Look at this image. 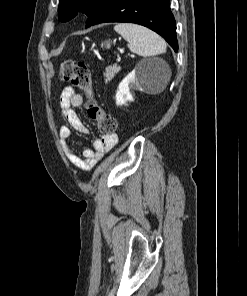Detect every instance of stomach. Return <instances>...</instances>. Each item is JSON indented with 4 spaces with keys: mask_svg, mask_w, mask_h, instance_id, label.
Wrapping results in <instances>:
<instances>
[{
    "mask_svg": "<svg viewBox=\"0 0 247 296\" xmlns=\"http://www.w3.org/2000/svg\"><path fill=\"white\" fill-rule=\"evenodd\" d=\"M104 45H105V47L107 49H109L111 47V42L110 41H105Z\"/></svg>",
    "mask_w": 247,
    "mask_h": 296,
    "instance_id": "0dacf381",
    "label": "stomach"
}]
</instances>
